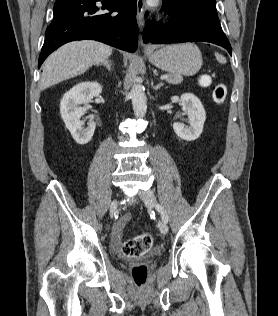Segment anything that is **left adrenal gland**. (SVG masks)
Listing matches in <instances>:
<instances>
[{
	"label": "left adrenal gland",
	"mask_w": 278,
	"mask_h": 316,
	"mask_svg": "<svg viewBox=\"0 0 278 316\" xmlns=\"http://www.w3.org/2000/svg\"><path fill=\"white\" fill-rule=\"evenodd\" d=\"M164 84L163 83H159L158 85L156 86H153L154 90H158L160 89Z\"/></svg>",
	"instance_id": "a2214340"
}]
</instances>
